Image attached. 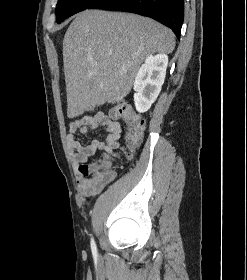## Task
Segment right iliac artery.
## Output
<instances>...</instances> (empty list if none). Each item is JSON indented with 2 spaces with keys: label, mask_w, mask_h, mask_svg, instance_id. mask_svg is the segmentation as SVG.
<instances>
[{
  "label": "right iliac artery",
  "mask_w": 247,
  "mask_h": 280,
  "mask_svg": "<svg viewBox=\"0 0 247 280\" xmlns=\"http://www.w3.org/2000/svg\"><path fill=\"white\" fill-rule=\"evenodd\" d=\"M91 249H92L93 254L97 253L96 244H95V241L93 238H91Z\"/></svg>",
  "instance_id": "82829eb1"
}]
</instances>
